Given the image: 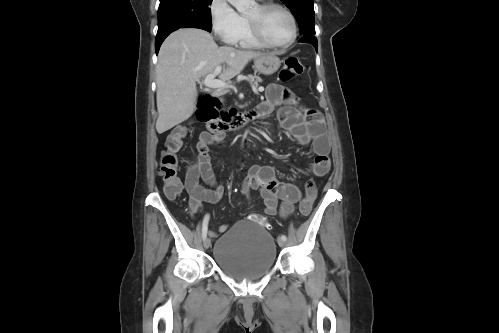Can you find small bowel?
Instances as JSON below:
<instances>
[{
    "label": "small bowel",
    "instance_id": "obj_1",
    "mask_svg": "<svg viewBox=\"0 0 499 333\" xmlns=\"http://www.w3.org/2000/svg\"><path fill=\"white\" fill-rule=\"evenodd\" d=\"M298 98L286 87L272 83L266 90V100L258 108L262 115H269L275 107L278 110V121L282 128L303 145L311 144L315 153L312 171L315 176H325L331 166L329 158L330 144L325 132L324 120L319 112L298 106ZM224 135L204 132L200 135L197 152L189 162L185 176V188L189 194V208L196 213L202 202L217 203L224 194V187L215 177L211 166L210 146L221 142ZM202 180L207 186L200 184ZM257 190L263 200L264 212L268 216L277 215L278 200H281L279 215L287 218L294 210L295 204L301 198L298 186L279 181L274 169L270 166H253L248 177L242 184L243 193L249 198L250 192ZM227 224L219 228L223 233L228 229ZM216 236L215 232H210Z\"/></svg>",
    "mask_w": 499,
    "mask_h": 333
}]
</instances>
